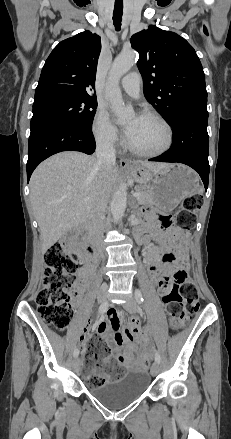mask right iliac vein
I'll return each mask as SVG.
<instances>
[{
  "instance_id": "63e3f726",
  "label": "right iliac vein",
  "mask_w": 231,
  "mask_h": 439,
  "mask_svg": "<svg viewBox=\"0 0 231 439\" xmlns=\"http://www.w3.org/2000/svg\"><path fill=\"white\" fill-rule=\"evenodd\" d=\"M106 297H107L106 291H104V290L100 291L98 293V296H97L98 302L101 303V305L104 304L106 302ZM73 367H74V370L76 372H78L80 370V368H81V360H80L79 357H76L74 359Z\"/></svg>"
}]
</instances>
